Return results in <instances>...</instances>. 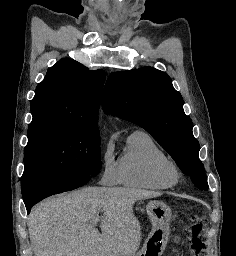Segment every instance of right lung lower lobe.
Masks as SVG:
<instances>
[{
    "label": "right lung lower lobe",
    "mask_w": 236,
    "mask_h": 256,
    "mask_svg": "<svg viewBox=\"0 0 236 256\" xmlns=\"http://www.w3.org/2000/svg\"><path fill=\"white\" fill-rule=\"evenodd\" d=\"M88 181L89 179L87 177H79L64 182H59L37 188L30 192L29 194L23 196L26 209L29 213L31 208L42 199L57 193L73 190L84 185Z\"/></svg>",
    "instance_id": "1"
}]
</instances>
